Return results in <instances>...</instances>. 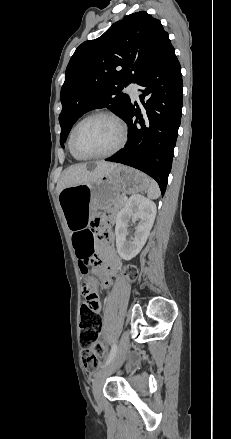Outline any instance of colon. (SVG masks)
<instances>
[{
	"mask_svg": "<svg viewBox=\"0 0 231 439\" xmlns=\"http://www.w3.org/2000/svg\"><path fill=\"white\" fill-rule=\"evenodd\" d=\"M96 220H100L106 224L110 220L101 216ZM94 261L90 258L86 262V269L93 265ZM127 273L130 277L135 276V269L130 267L127 269ZM89 287L86 285V289ZM102 329V317L96 312L92 307L88 305H82L81 316H80V344L83 349L82 359L84 368L87 371L95 370L99 365V359L104 355V348L99 343V337L101 335Z\"/></svg>",
	"mask_w": 231,
	"mask_h": 439,
	"instance_id": "colon-1",
	"label": "colon"
}]
</instances>
